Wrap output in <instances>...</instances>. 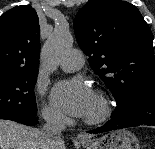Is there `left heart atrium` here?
<instances>
[{
    "instance_id": "left-heart-atrium-1",
    "label": "left heart atrium",
    "mask_w": 155,
    "mask_h": 149,
    "mask_svg": "<svg viewBox=\"0 0 155 149\" xmlns=\"http://www.w3.org/2000/svg\"><path fill=\"white\" fill-rule=\"evenodd\" d=\"M93 92L82 80L59 83L52 91V101L68 114L83 117L93 98Z\"/></svg>"
}]
</instances>
